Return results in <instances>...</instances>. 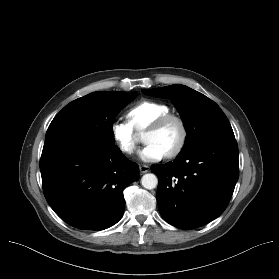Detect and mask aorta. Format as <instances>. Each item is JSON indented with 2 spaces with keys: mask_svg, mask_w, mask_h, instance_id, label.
Listing matches in <instances>:
<instances>
[{
  "mask_svg": "<svg viewBox=\"0 0 279 279\" xmlns=\"http://www.w3.org/2000/svg\"><path fill=\"white\" fill-rule=\"evenodd\" d=\"M141 184L144 188L151 190L157 187L158 185V178L153 173H148L142 176Z\"/></svg>",
  "mask_w": 279,
  "mask_h": 279,
  "instance_id": "obj_1",
  "label": "aorta"
}]
</instances>
